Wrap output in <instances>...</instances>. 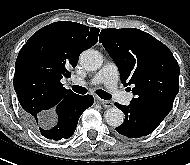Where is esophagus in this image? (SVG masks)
<instances>
[{"label":"esophagus","instance_id":"esophagus-1","mask_svg":"<svg viewBox=\"0 0 190 165\" xmlns=\"http://www.w3.org/2000/svg\"><path fill=\"white\" fill-rule=\"evenodd\" d=\"M98 102L102 104L104 108H110L113 106V103L109 100L98 99Z\"/></svg>","mask_w":190,"mask_h":165}]
</instances>
